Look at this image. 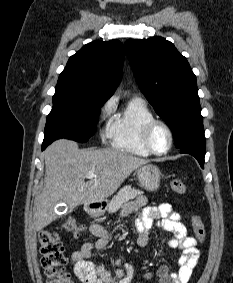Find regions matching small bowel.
Wrapping results in <instances>:
<instances>
[{
  "mask_svg": "<svg viewBox=\"0 0 233 283\" xmlns=\"http://www.w3.org/2000/svg\"><path fill=\"white\" fill-rule=\"evenodd\" d=\"M139 212L135 221L138 233L137 244L145 247L149 243L148 231L156 224L169 235L167 244L169 247L178 249L181 256L178 259V271L170 272L165 265L157 270L159 283H187L192 275L198 258L199 250L196 248V240L187 235V230L181 221V216L174 211L169 203H161L157 206H146V199L142 196L124 207L122 214ZM91 233L97 237L95 242H86L71 256V263L77 278L81 283H132L135 268L129 265L126 271L121 267V261H116L117 269L111 275L104 266L98 265L92 259L94 249L103 250L107 247L110 234L100 225H92ZM152 277L151 273L145 275L146 279Z\"/></svg>",
  "mask_w": 233,
  "mask_h": 283,
  "instance_id": "obj_1",
  "label": "small bowel"
}]
</instances>
